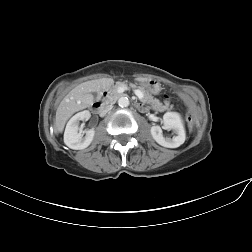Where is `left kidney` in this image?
Returning <instances> with one entry per match:
<instances>
[{
	"mask_svg": "<svg viewBox=\"0 0 252 252\" xmlns=\"http://www.w3.org/2000/svg\"><path fill=\"white\" fill-rule=\"evenodd\" d=\"M164 129L173 130L176 136L164 137L162 128L158 125L151 127L153 139L161 146L177 148L185 142L186 135L180 115L176 112H167L163 116Z\"/></svg>",
	"mask_w": 252,
	"mask_h": 252,
	"instance_id": "obj_1",
	"label": "left kidney"
}]
</instances>
